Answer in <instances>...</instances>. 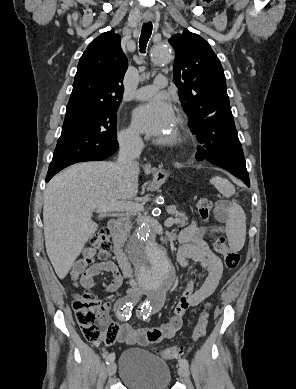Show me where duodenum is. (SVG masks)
Here are the masks:
<instances>
[{
	"label": "duodenum",
	"instance_id": "obj_1",
	"mask_svg": "<svg viewBox=\"0 0 296 389\" xmlns=\"http://www.w3.org/2000/svg\"><path fill=\"white\" fill-rule=\"evenodd\" d=\"M108 228L114 241V254L125 277H130L131 265L123 251L122 237L120 233V222L117 219H111L108 222Z\"/></svg>",
	"mask_w": 296,
	"mask_h": 389
}]
</instances>
